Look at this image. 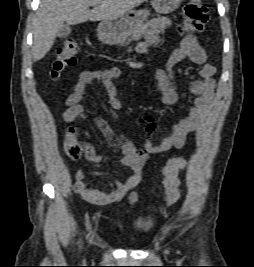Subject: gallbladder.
<instances>
[{
  "label": "gallbladder",
  "mask_w": 254,
  "mask_h": 267,
  "mask_svg": "<svg viewBox=\"0 0 254 267\" xmlns=\"http://www.w3.org/2000/svg\"><path fill=\"white\" fill-rule=\"evenodd\" d=\"M71 33V28L69 24H63L57 33L59 38H66Z\"/></svg>",
  "instance_id": "1"
}]
</instances>
